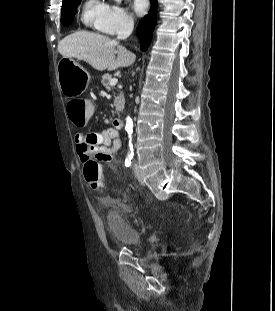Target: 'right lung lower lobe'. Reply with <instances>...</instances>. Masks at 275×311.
Listing matches in <instances>:
<instances>
[{"mask_svg": "<svg viewBox=\"0 0 275 311\" xmlns=\"http://www.w3.org/2000/svg\"><path fill=\"white\" fill-rule=\"evenodd\" d=\"M157 0H151V8L137 26V34L141 43V50L146 51L152 39V33L156 23Z\"/></svg>", "mask_w": 275, "mask_h": 311, "instance_id": "right-lung-lower-lobe-1", "label": "right lung lower lobe"}]
</instances>
